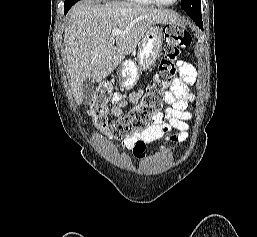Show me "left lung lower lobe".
I'll return each instance as SVG.
<instances>
[{"mask_svg": "<svg viewBox=\"0 0 257 237\" xmlns=\"http://www.w3.org/2000/svg\"><path fill=\"white\" fill-rule=\"evenodd\" d=\"M191 18L199 26V28L203 29L202 16L201 17L192 16Z\"/></svg>", "mask_w": 257, "mask_h": 237, "instance_id": "left-lung-lower-lobe-1", "label": "left lung lower lobe"}]
</instances>
